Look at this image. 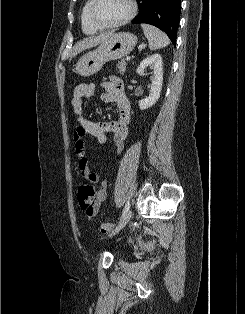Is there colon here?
I'll return each mask as SVG.
<instances>
[{"instance_id":"colon-1","label":"colon","mask_w":245,"mask_h":314,"mask_svg":"<svg viewBox=\"0 0 245 314\" xmlns=\"http://www.w3.org/2000/svg\"><path fill=\"white\" fill-rule=\"evenodd\" d=\"M78 202L80 208L86 214H91L94 210L95 189L90 184H81L77 190ZM114 228L113 223H101L100 230L102 233H108ZM138 244L145 249H152L153 245L150 242L139 240Z\"/></svg>"}]
</instances>
